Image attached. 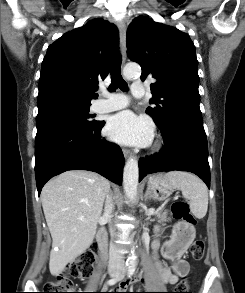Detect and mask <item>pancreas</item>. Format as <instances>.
Instances as JSON below:
<instances>
[{"label":"pancreas","instance_id":"pancreas-1","mask_svg":"<svg viewBox=\"0 0 245 293\" xmlns=\"http://www.w3.org/2000/svg\"><path fill=\"white\" fill-rule=\"evenodd\" d=\"M169 219H167V213H163L162 216H161V219H160V222H165V221H168Z\"/></svg>","mask_w":245,"mask_h":293}]
</instances>
